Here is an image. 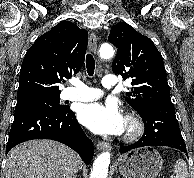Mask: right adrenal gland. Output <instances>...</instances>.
Segmentation results:
<instances>
[{"mask_svg":"<svg viewBox=\"0 0 194 178\" xmlns=\"http://www.w3.org/2000/svg\"><path fill=\"white\" fill-rule=\"evenodd\" d=\"M73 178H77V175H75Z\"/></svg>","mask_w":194,"mask_h":178,"instance_id":"obj_1","label":"right adrenal gland"}]
</instances>
